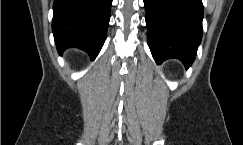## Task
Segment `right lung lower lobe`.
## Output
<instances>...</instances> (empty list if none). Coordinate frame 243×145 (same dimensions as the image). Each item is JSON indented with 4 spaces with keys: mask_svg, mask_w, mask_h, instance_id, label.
Listing matches in <instances>:
<instances>
[{
    "mask_svg": "<svg viewBox=\"0 0 243 145\" xmlns=\"http://www.w3.org/2000/svg\"><path fill=\"white\" fill-rule=\"evenodd\" d=\"M111 3L112 0H54L52 32L58 52L76 47L95 59L106 38Z\"/></svg>",
    "mask_w": 243,
    "mask_h": 145,
    "instance_id": "98d812e1",
    "label": "right lung lower lobe"
}]
</instances>
